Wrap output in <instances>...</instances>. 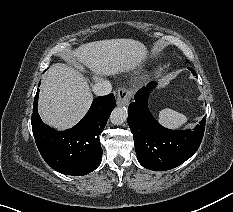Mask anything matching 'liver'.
Returning a JSON list of instances; mask_svg holds the SVG:
<instances>
[{"instance_id": "1", "label": "liver", "mask_w": 233, "mask_h": 212, "mask_svg": "<svg viewBox=\"0 0 233 212\" xmlns=\"http://www.w3.org/2000/svg\"><path fill=\"white\" fill-rule=\"evenodd\" d=\"M146 46L133 39H109L82 44L69 58L87 66L94 80L128 72L140 66ZM93 100L86 79L66 64H53L42 79L38 111L44 123L65 130L85 115Z\"/></svg>"}]
</instances>
